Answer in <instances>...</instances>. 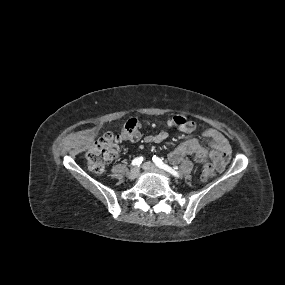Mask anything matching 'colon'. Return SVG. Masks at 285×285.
<instances>
[{
  "label": "colon",
  "mask_w": 285,
  "mask_h": 285,
  "mask_svg": "<svg viewBox=\"0 0 285 285\" xmlns=\"http://www.w3.org/2000/svg\"><path fill=\"white\" fill-rule=\"evenodd\" d=\"M170 124L184 133H192L195 123L184 115H176L169 120ZM142 122L137 119L128 120L121 131L116 134H107L97 140L86 153L88 168L97 174L103 173L114 161L117 155V145L126 141H137L141 137ZM215 165L206 163L203 166L201 180L209 181L215 175Z\"/></svg>",
  "instance_id": "obj_1"
}]
</instances>
